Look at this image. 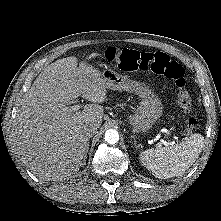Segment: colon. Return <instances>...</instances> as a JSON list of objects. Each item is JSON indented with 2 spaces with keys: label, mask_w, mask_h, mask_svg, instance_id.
<instances>
[{
  "label": "colon",
  "mask_w": 221,
  "mask_h": 221,
  "mask_svg": "<svg viewBox=\"0 0 221 221\" xmlns=\"http://www.w3.org/2000/svg\"><path fill=\"white\" fill-rule=\"evenodd\" d=\"M105 57L123 71H144L170 78L177 87V102L185 115L186 133H192L198 128L197 119L193 114L191 95L186 89L185 70L177 62L162 52L146 53L132 49L110 47L105 51Z\"/></svg>",
  "instance_id": "obj_1"
}]
</instances>
